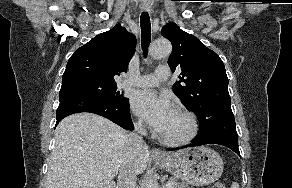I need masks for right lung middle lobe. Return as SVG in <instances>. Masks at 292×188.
<instances>
[{"mask_svg": "<svg viewBox=\"0 0 292 188\" xmlns=\"http://www.w3.org/2000/svg\"><path fill=\"white\" fill-rule=\"evenodd\" d=\"M115 81L102 79L80 77L62 80L60 93L63 92H81L88 94L109 105H121L128 99L125 98L120 91H116Z\"/></svg>", "mask_w": 292, "mask_h": 188, "instance_id": "right-lung-middle-lobe-1", "label": "right lung middle lobe"}]
</instances>
